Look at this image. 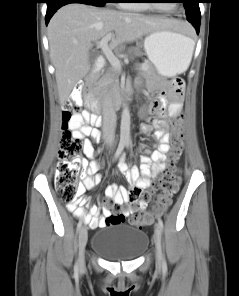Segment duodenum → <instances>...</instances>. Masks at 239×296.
Segmentation results:
<instances>
[{"label":"duodenum","instance_id":"duodenum-1","mask_svg":"<svg viewBox=\"0 0 239 296\" xmlns=\"http://www.w3.org/2000/svg\"><path fill=\"white\" fill-rule=\"evenodd\" d=\"M104 63H105V58L102 55L97 56L96 61H95V65H94V70H93L94 77L96 74L99 73V71L103 67ZM91 81H89L86 85H84L82 83H78L75 86V90H74L73 94H74L75 98H79V94L82 93L83 91H85L84 101H85L86 107L94 112H98L99 106H98V103L95 100L93 92H92V82ZM125 101H126V98L124 96H120L117 100V104L122 105ZM94 124H95V126L100 127L102 124L101 118L97 117Z\"/></svg>","mask_w":239,"mask_h":296}]
</instances>
